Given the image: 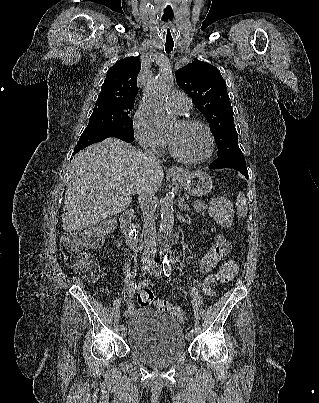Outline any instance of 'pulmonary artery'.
<instances>
[{"mask_svg":"<svg viewBox=\"0 0 319 403\" xmlns=\"http://www.w3.org/2000/svg\"><path fill=\"white\" fill-rule=\"evenodd\" d=\"M169 106L177 114H183L190 108V98L181 92H173L169 97Z\"/></svg>","mask_w":319,"mask_h":403,"instance_id":"e3ab8cb5","label":"pulmonary artery"}]
</instances>
